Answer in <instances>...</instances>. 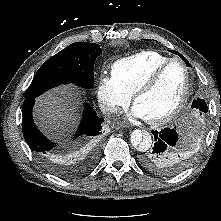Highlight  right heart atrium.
Returning a JSON list of instances; mask_svg holds the SVG:
<instances>
[{
  "label": "right heart atrium",
  "instance_id": "d8ad5b80",
  "mask_svg": "<svg viewBox=\"0 0 221 221\" xmlns=\"http://www.w3.org/2000/svg\"><path fill=\"white\" fill-rule=\"evenodd\" d=\"M97 98L106 113H115L120 107L128 105L131 95L113 75L101 73L98 80Z\"/></svg>",
  "mask_w": 221,
  "mask_h": 221
}]
</instances>
